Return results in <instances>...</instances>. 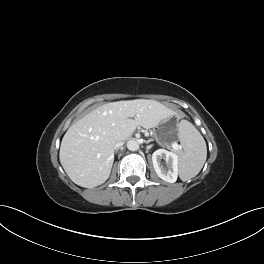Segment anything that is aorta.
Listing matches in <instances>:
<instances>
[{"label": "aorta", "mask_w": 264, "mask_h": 264, "mask_svg": "<svg viewBox=\"0 0 264 264\" xmlns=\"http://www.w3.org/2000/svg\"><path fill=\"white\" fill-rule=\"evenodd\" d=\"M127 148L130 151H137L139 149V143L136 140H129L127 142Z\"/></svg>", "instance_id": "1"}]
</instances>
